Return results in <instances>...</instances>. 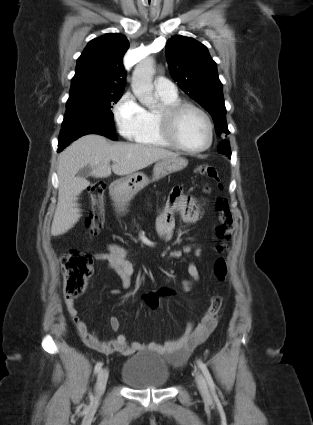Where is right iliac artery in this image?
<instances>
[{
	"instance_id": "obj_1",
	"label": "right iliac artery",
	"mask_w": 313,
	"mask_h": 425,
	"mask_svg": "<svg viewBox=\"0 0 313 425\" xmlns=\"http://www.w3.org/2000/svg\"><path fill=\"white\" fill-rule=\"evenodd\" d=\"M102 366H103V363H102V362H98V363L95 365L94 373H95V374H97V373L100 371V369L102 368Z\"/></svg>"
}]
</instances>
